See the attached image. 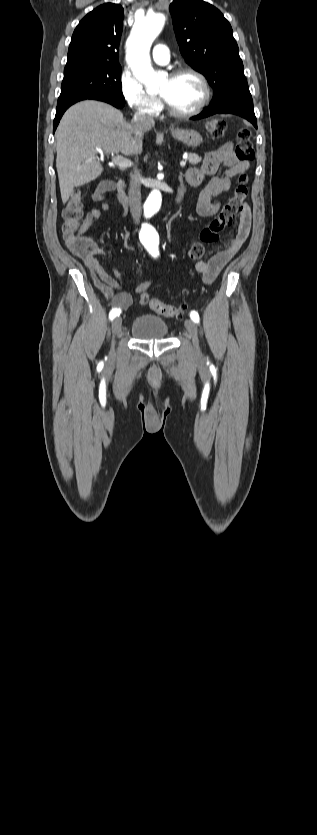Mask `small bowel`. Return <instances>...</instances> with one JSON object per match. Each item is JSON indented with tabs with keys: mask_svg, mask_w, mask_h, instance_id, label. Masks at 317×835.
<instances>
[{
	"mask_svg": "<svg viewBox=\"0 0 317 835\" xmlns=\"http://www.w3.org/2000/svg\"><path fill=\"white\" fill-rule=\"evenodd\" d=\"M220 166H224L225 171L221 175H216ZM248 169L249 162L237 158L233 145L231 143H225L217 149L208 152L200 167H193L187 170L185 174V183L187 185L197 187L209 178L199 194L196 206L197 213L203 217L215 215L220 208V204L214 202L213 199L224 192L230 191L232 178L245 174ZM108 194L106 182L99 184L92 194V199L96 202H102L101 209L106 212L111 210L110 205L103 202ZM100 216L101 211L98 208H92L88 211L82 222V231H86L92 224L99 220ZM250 228L251 212L249 207L244 206L241 211L236 234L226 247L208 260L198 261L195 264L196 271L202 275L206 283H211L223 267L240 250L249 235ZM98 255L104 256V252L100 248H96L95 252L90 256L81 257L84 265L90 272L95 287L114 308H118L121 311L127 310L133 303V297L129 292L124 290L126 284L119 270L115 266H111V273H108L99 263L97 259ZM151 284V279L144 280L136 286L135 292L137 294L143 293Z\"/></svg>",
	"mask_w": 317,
	"mask_h": 835,
	"instance_id": "c3829d8e",
	"label": "small bowel"
}]
</instances>
